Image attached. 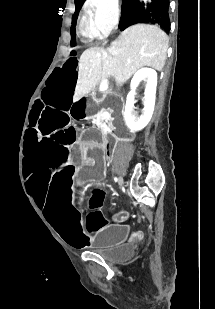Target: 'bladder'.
Returning <instances> with one entry per match:
<instances>
[{
	"label": "bladder",
	"mask_w": 215,
	"mask_h": 309,
	"mask_svg": "<svg viewBox=\"0 0 215 309\" xmlns=\"http://www.w3.org/2000/svg\"><path fill=\"white\" fill-rule=\"evenodd\" d=\"M135 254V246L133 244L127 243L120 246L117 250L107 253H102L101 255L112 262L123 263L131 259Z\"/></svg>",
	"instance_id": "1"
}]
</instances>
